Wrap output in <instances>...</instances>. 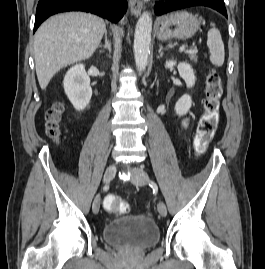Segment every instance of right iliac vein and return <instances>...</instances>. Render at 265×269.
<instances>
[{"mask_svg":"<svg viewBox=\"0 0 265 269\" xmlns=\"http://www.w3.org/2000/svg\"><path fill=\"white\" fill-rule=\"evenodd\" d=\"M116 171H117V167L115 164L108 166L104 173V178H103L104 182L105 183L110 182L114 178ZM99 209H100V196L97 195L94 198L93 204H92L93 213L97 214L99 212Z\"/></svg>","mask_w":265,"mask_h":269,"instance_id":"63e3f726","label":"right iliac vein"}]
</instances>
